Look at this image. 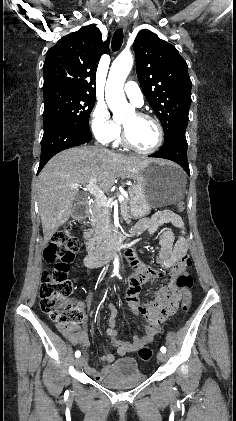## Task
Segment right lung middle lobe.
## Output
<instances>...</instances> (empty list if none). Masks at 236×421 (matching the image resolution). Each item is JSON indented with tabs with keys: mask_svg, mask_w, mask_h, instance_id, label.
<instances>
[{
	"mask_svg": "<svg viewBox=\"0 0 236 421\" xmlns=\"http://www.w3.org/2000/svg\"><path fill=\"white\" fill-rule=\"evenodd\" d=\"M44 133L64 126L91 134L89 116L94 107L95 96L62 89L43 90Z\"/></svg>",
	"mask_w": 236,
	"mask_h": 421,
	"instance_id": "1",
	"label": "right lung middle lobe"
}]
</instances>
